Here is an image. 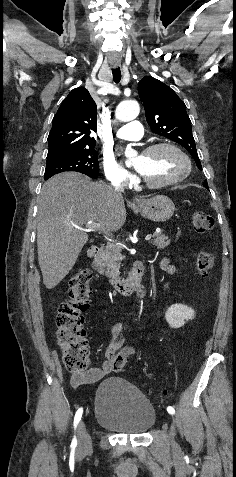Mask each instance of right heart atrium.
I'll use <instances>...</instances> for the list:
<instances>
[{
  "label": "right heart atrium",
  "mask_w": 236,
  "mask_h": 477,
  "mask_svg": "<svg viewBox=\"0 0 236 477\" xmlns=\"http://www.w3.org/2000/svg\"><path fill=\"white\" fill-rule=\"evenodd\" d=\"M103 171L106 179L113 184L124 185L133 179V176L109 155L103 159Z\"/></svg>",
  "instance_id": "1"
}]
</instances>
